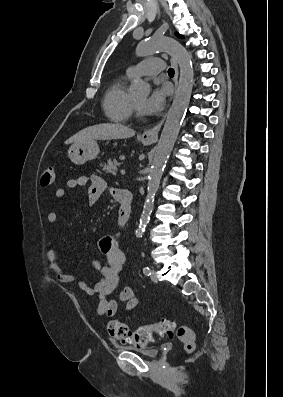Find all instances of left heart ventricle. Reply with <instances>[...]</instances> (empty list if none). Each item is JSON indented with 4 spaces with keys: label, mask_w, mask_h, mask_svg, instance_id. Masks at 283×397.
Masks as SVG:
<instances>
[{
    "label": "left heart ventricle",
    "mask_w": 283,
    "mask_h": 397,
    "mask_svg": "<svg viewBox=\"0 0 283 397\" xmlns=\"http://www.w3.org/2000/svg\"><path fill=\"white\" fill-rule=\"evenodd\" d=\"M133 101H134V103L136 104L137 107H140V105L144 101V98L143 97L135 98V99H133Z\"/></svg>",
    "instance_id": "obj_1"
}]
</instances>
